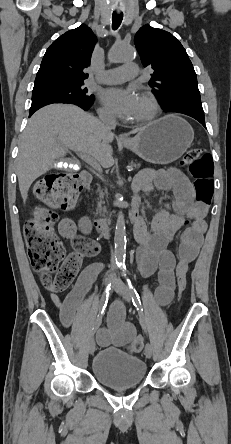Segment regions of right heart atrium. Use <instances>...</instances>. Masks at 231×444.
Returning <instances> with one entry per match:
<instances>
[{"label":"right heart atrium","mask_w":231,"mask_h":444,"mask_svg":"<svg viewBox=\"0 0 231 444\" xmlns=\"http://www.w3.org/2000/svg\"><path fill=\"white\" fill-rule=\"evenodd\" d=\"M99 114H100L102 117L107 118V119H111V118H113L111 112H110L109 110H107L106 108H104V107H101V108L99 109Z\"/></svg>","instance_id":"right-heart-atrium-1"}]
</instances>
